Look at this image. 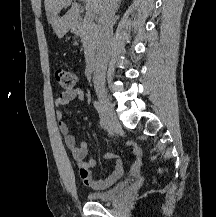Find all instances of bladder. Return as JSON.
<instances>
[{
    "label": "bladder",
    "mask_w": 216,
    "mask_h": 217,
    "mask_svg": "<svg viewBox=\"0 0 216 217\" xmlns=\"http://www.w3.org/2000/svg\"><path fill=\"white\" fill-rule=\"evenodd\" d=\"M124 184H118L108 191H89L86 197L91 202H109L116 198L124 189Z\"/></svg>",
    "instance_id": "obj_1"
}]
</instances>
